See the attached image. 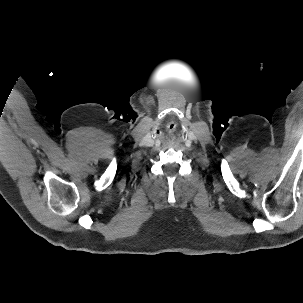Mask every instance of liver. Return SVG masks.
I'll list each match as a JSON object with an SVG mask.
<instances>
[{
    "mask_svg": "<svg viewBox=\"0 0 303 303\" xmlns=\"http://www.w3.org/2000/svg\"><path fill=\"white\" fill-rule=\"evenodd\" d=\"M2 131H3V129H1ZM1 130H0V134H2L1 133ZM1 136V135H0ZM0 150H3V146H2V143L0 144Z\"/></svg>",
    "mask_w": 303,
    "mask_h": 303,
    "instance_id": "obj_1",
    "label": "liver"
}]
</instances>
